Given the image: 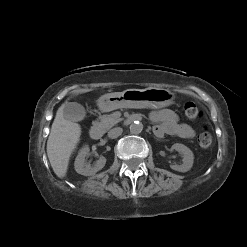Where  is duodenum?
<instances>
[{
	"instance_id": "obj_1",
	"label": "duodenum",
	"mask_w": 247,
	"mask_h": 247,
	"mask_svg": "<svg viewBox=\"0 0 247 247\" xmlns=\"http://www.w3.org/2000/svg\"><path fill=\"white\" fill-rule=\"evenodd\" d=\"M128 122H130V121H128ZM103 133H104L103 128L100 125H93L89 131L90 137L93 140L101 139L103 136Z\"/></svg>"
}]
</instances>
